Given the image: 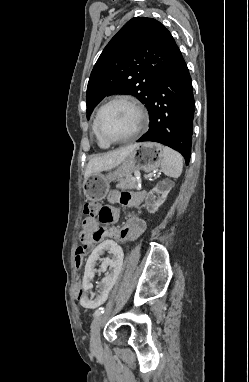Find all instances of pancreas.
Instances as JSON below:
<instances>
[{
  "label": "pancreas",
  "instance_id": "obj_1",
  "mask_svg": "<svg viewBox=\"0 0 249 382\" xmlns=\"http://www.w3.org/2000/svg\"><path fill=\"white\" fill-rule=\"evenodd\" d=\"M132 175H127L125 178L121 179L116 185L119 189H136L138 187L137 181L133 180Z\"/></svg>",
  "mask_w": 249,
  "mask_h": 382
}]
</instances>
